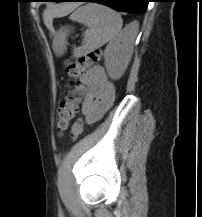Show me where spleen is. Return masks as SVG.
Here are the masks:
<instances>
[{
  "instance_id": "spleen-1",
  "label": "spleen",
  "mask_w": 202,
  "mask_h": 217,
  "mask_svg": "<svg viewBox=\"0 0 202 217\" xmlns=\"http://www.w3.org/2000/svg\"><path fill=\"white\" fill-rule=\"evenodd\" d=\"M70 19L88 27L85 31V45L75 48L77 55L82 49L93 50L106 44L119 34L123 20L121 15L113 9L97 3H90L79 7L71 15ZM138 25L134 24L132 31L137 34Z\"/></svg>"
}]
</instances>
